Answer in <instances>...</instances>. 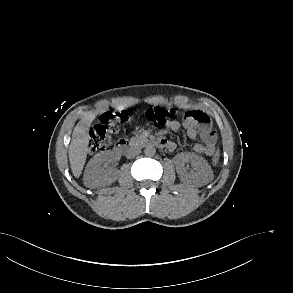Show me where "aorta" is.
I'll return each instance as SVG.
<instances>
[{
	"label": "aorta",
	"instance_id": "1",
	"mask_svg": "<svg viewBox=\"0 0 293 293\" xmlns=\"http://www.w3.org/2000/svg\"><path fill=\"white\" fill-rule=\"evenodd\" d=\"M144 152H145L146 156L152 157V156H154L156 154V149H155L154 146L148 145V146H146Z\"/></svg>",
	"mask_w": 293,
	"mask_h": 293
}]
</instances>
